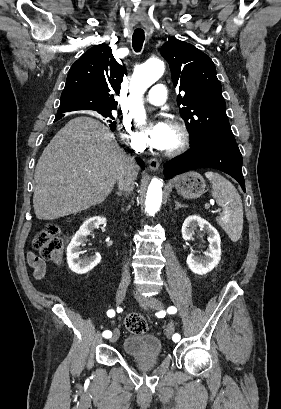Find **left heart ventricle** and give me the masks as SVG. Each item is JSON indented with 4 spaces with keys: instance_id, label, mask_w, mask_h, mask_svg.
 I'll return each instance as SVG.
<instances>
[{
    "instance_id": "obj_1",
    "label": "left heart ventricle",
    "mask_w": 281,
    "mask_h": 409,
    "mask_svg": "<svg viewBox=\"0 0 281 409\" xmlns=\"http://www.w3.org/2000/svg\"><path fill=\"white\" fill-rule=\"evenodd\" d=\"M179 141V135L169 128L166 144L162 150H168L174 147Z\"/></svg>"
}]
</instances>
